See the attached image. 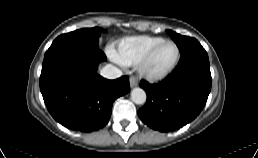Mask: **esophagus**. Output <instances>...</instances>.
Here are the masks:
<instances>
[{"mask_svg": "<svg viewBox=\"0 0 258 158\" xmlns=\"http://www.w3.org/2000/svg\"><path fill=\"white\" fill-rule=\"evenodd\" d=\"M129 83L131 87H135L138 85V78L135 76H131L129 79Z\"/></svg>", "mask_w": 258, "mask_h": 158, "instance_id": "1", "label": "esophagus"}]
</instances>
